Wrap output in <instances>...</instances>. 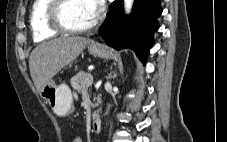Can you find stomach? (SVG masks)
<instances>
[{
	"instance_id": "0dacf381",
	"label": "stomach",
	"mask_w": 227,
	"mask_h": 142,
	"mask_svg": "<svg viewBox=\"0 0 227 142\" xmlns=\"http://www.w3.org/2000/svg\"><path fill=\"white\" fill-rule=\"evenodd\" d=\"M88 50L91 54L104 59H110L113 56L108 48L92 42L89 43ZM40 95L58 116H67L73 111L72 92L64 83L57 85L50 80L43 86Z\"/></svg>"
}]
</instances>
